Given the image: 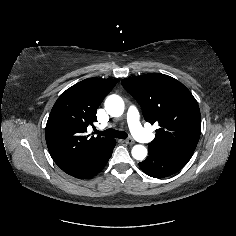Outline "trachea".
I'll return each mask as SVG.
<instances>
[{
  "label": "trachea",
  "mask_w": 236,
  "mask_h": 236,
  "mask_svg": "<svg viewBox=\"0 0 236 236\" xmlns=\"http://www.w3.org/2000/svg\"><path fill=\"white\" fill-rule=\"evenodd\" d=\"M96 133L99 135H102V136L112 137V138L125 139L128 137V134L126 132L117 131L115 129H107L105 131H97Z\"/></svg>",
  "instance_id": "3493384b"
}]
</instances>
